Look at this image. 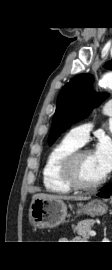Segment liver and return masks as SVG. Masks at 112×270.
<instances>
[{"mask_svg": "<svg viewBox=\"0 0 112 270\" xmlns=\"http://www.w3.org/2000/svg\"><path fill=\"white\" fill-rule=\"evenodd\" d=\"M35 198L78 200V201L90 199V197L51 195V194H45V193H38V194L33 195V199Z\"/></svg>", "mask_w": 112, "mask_h": 270, "instance_id": "6515ba94", "label": "liver"}]
</instances>
